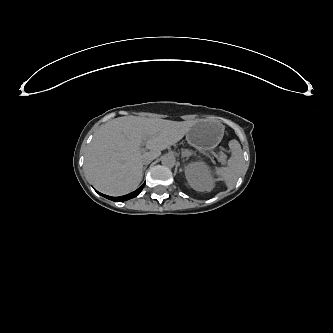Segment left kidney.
<instances>
[{"label":"left kidney","mask_w":333,"mask_h":333,"mask_svg":"<svg viewBox=\"0 0 333 333\" xmlns=\"http://www.w3.org/2000/svg\"><path fill=\"white\" fill-rule=\"evenodd\" d=\"M184 170L186 180L194 190L209 192L215 187V174L206 162H191L185 166Z\"/></svg>","instance_id":"obj_1"}]
</instances>
